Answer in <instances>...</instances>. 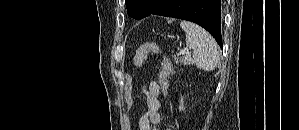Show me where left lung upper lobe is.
<instances>
[{
    "instance_id": "obj_1",
    "label": "left lung upper lobe",
    "mask_w": 299,
    "mask_h": 130,
    "mask_svg": "<svg viewBox=\"0 0 299 130\" xmlns=\"http://www.w3.org/2000/svg\"><path fill=\"white\" fill-rule=\"evenodd\" d=\"M150 4V0H126L127 13L132 18L141 19Z\"/></svg>"
}]
</instances>
